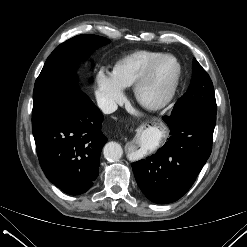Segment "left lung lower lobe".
<instances>
[{"label": "left lung lower lobe", "mask_w": 247, "mask_h": 247, "mask_svg": "<svg viewBox=\"0 0 247 247\" xmlns=\"http://www.w3.org/2000/svg\"><path fill=\"white\" fill-rule=\"evenodd\" d=\"M163 120L171 136L145 160L132 164L135 179L154 203H171L193 185L212 150L216 113L200 105L187 106Z\"/></svg>", "instance_id": "obj_1"}]
</instances>
